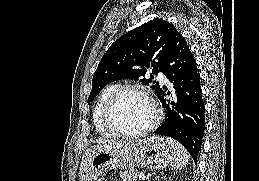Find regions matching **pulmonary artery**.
Listing matches in <instances>:
<instances>
[{
    "label": "pulmonary artery",
    "instance_id": "e3ab8cb5",
    "mask_svg": "<svg viewBox=\"0 0 259 181\" xmlns=\"http://www.w3.org/2000/svg\"><path fill=\"white\" fill-rule=\"evenodd\" d=\"M157 78H158L161 82L168 83L167 78H166L165 75L162 74V73H159L158 76H157Z\"/></svg>",
    "mask_w": 259,
    "mask_h": 181
}]
</instances>
